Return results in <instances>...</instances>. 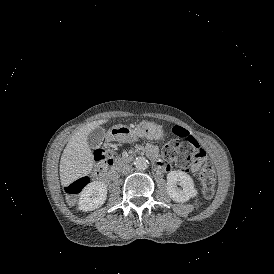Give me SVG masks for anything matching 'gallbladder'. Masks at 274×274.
Returning a JSON list of instances; mask_svg holds the SVG:
<instances>
[{
	"label": "gallbladder",
	"mask_w": 274,
	"mask_h": 274,
	"mask_svg": "<svg viewBox=\"0 0 274 274\" xmlns=\"http://www.w3.org/2000/svg\"><path fill=\"white\" fill-rule=\"evenodd\" d=\"M105 138V129L101 126L94 128L87 136L88 146L91 148L101 145Z\"/></svg>",
	"instance_id": "1"
}]
</instances>
